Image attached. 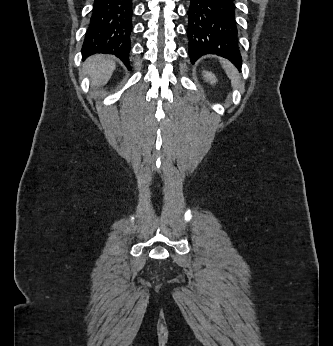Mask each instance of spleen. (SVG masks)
Masks as SVG:
<instances>
[{"label":"spleen","instance_id":"3e777b00","mask_svg":"<svg viewBox=\"0 0 333 346\" xmlns=\"http://www.w3.org/2000/svg\"><path fill=\"white\" fill-rule=\"evenodd\" d=\"M222 63H223V68L226 74L228 75L229 79H231L232 86L234 88H238L240 83V77L237 70L235 69L233 65H231L227 61H223Z\"/></svg>","mask_w":333,"mask_h":346}]
</instances>
